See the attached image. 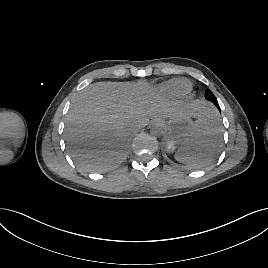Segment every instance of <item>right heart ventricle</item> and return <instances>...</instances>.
<instances>
[{
    "instance_id": "e07e8e85",
    "label": "right heart ventricle",
    "mask_w": 268,
    "mask_h": 268,
    "mask_svg": "<svg viewBox=\"0 0 268 268\" xmlns=\"http://www.w3.org/2000/svg\"><path fill=\"white\" fill-rule=\"evenodd\" d=\"M164 89L173 96H183L191 89V84L184 79H172L165 83Z\"/></svg>"
}]
</instances>
